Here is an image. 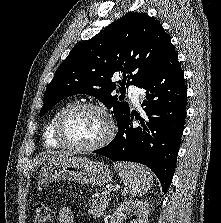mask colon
<instances>
[{
  "label": "colon",
  "mask_w": 221,
  "mask_h": 223,
  "mask_svg": "<svg viewBox=\"0 0 221 223\" xmlns=\"http://www.w3.org/2000/svg\"><path fill=\"white\" fill-rule=\"evenodd\" d=\"M54 212L51 206L45 202L37 204L34 214L33 223H52Z\"/></svg>",
  "instance_id": "colon-1"
}]
</instances>
